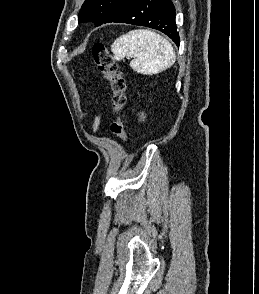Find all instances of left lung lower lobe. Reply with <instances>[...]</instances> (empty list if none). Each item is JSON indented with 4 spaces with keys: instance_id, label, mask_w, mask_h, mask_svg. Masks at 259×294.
Instances as JSON below:
<instances>
[{
    "instance_id": "left-lung-lower-lobe-1",
    "label": "left lung lower lobe",
    "mask_w": 259,
    "mask_h": 294,
    "mask_svg": "<svg viewBox=\"0 0 259 294\" xmlns=\"http://www.w3.org/2000/svg\"><path fill=\"white\" fill-rule=\"evenodd\" d=\"M110 22L150 27L168 35L177 46L180 43L175 8L170 0H124L103 23Z\"/></svg>"
}]
</instances>
